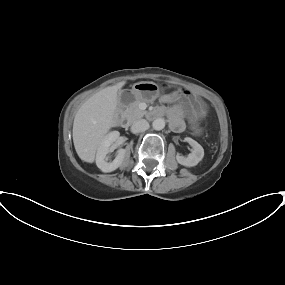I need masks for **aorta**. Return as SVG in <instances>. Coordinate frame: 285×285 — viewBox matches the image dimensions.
Returning <instances> with one entry per match:
<instances>
[{"label":"aorta","mask_w":285,"mask_h":285,"mask_svg":"<svg viewBox=\"0 0 285 285\" xmlns=\"http://www.w3.org/2000/svg\"><path fill=\"white\" fill-rule=\"evenodd\" d=\"M153 129L160 131L165 127V120L163 118H157L152 123Z\"/></svg>","instance_id":"762f6f07"}]
</instances>
